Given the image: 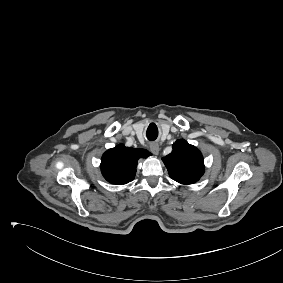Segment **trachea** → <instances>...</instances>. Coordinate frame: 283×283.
Returning a JSON list of instances; mask_svg holds the SVG:
<instances>
[{"label": "trachea", "instance_id": "3493384b", "mask_svg": "<svg viewBox=\"0 0 283 283\" xmlns=\"http://www.w3.org/2000/svg\"><path fill=\"white\" fill-rule=\"evenodd\" d=\"M148 139L151 140V141H153L155 138H150V137L148 136Z\"/></svg>", "mask_w": 283, "mask_h": 283}]
</instances>
